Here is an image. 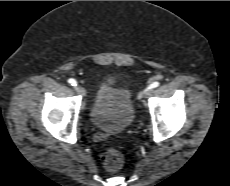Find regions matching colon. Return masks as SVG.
<instances>
[{"instance_id": "1", "label": "colon", "mask_w": 230, "mask_h": 186, "mask_svg": "<svg viewBox=\"0 0 230 186\" xmlns=\"http://www.w3.org/2000/svg\"><path fill=\"white\" fill-rule=\"evenodd\" d=\"M101 163L108 171H117L123 166L124 157L118 150L108 148L101 155Z\"/></svg>"}]
</instances>
